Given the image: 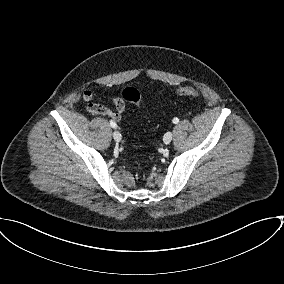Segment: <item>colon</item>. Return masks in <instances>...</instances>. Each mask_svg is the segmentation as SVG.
Here are the masks:
<instances>
[{
	"mask_svg": "<svg viewBox=\"0 0 284 284\" xmlns=\"http://www.w3.org/2000/svg\"><path fill=\"white\" fill-rule=\"evenodd\" d=\"M179 95L184 96H191V97H197L199 95L198 91L192 87H183L176 91ZM121 97L123 100L131 103H138L140 100V94L139 92L132 87H128L122 91Z\"/></svg>",
	"mask_w": 284,
	"mask_h": 284,
	"instance_id": "colon-1",
	"label": "colon"
}]
</instances>
